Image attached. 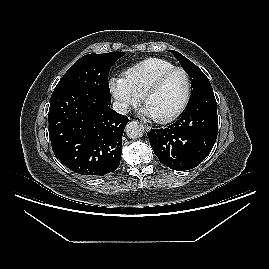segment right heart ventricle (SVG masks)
Segmentation results:
<instances>
[{"label": "right heart ventricle", "instance_id": "e07e8e85", "mask_svg": "<svg viewBox=\"0 0 269 269\" xmlns=\"http://www.w3.org/2000/svg\"><path fill=\"white\" fill-rule=\"evenodd\" d=\"M173 67L175 65L168 60L148 58L128 68L124 73V78L132 91L141 96L154 79Z\"/></svg>", "mask_w": 269, "mask_h": 269}]
</instances>
